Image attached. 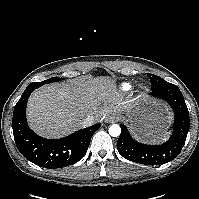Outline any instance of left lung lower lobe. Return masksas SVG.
I'll return each mask as SVG.
<instances>
[{
    "label": "left lung lower lobe",
    "mask_w": 199,
    "mask_h": 199,
    "mask_svg": "<svg viewBox=\"0 0 199 199\" xmlns=\"http://www.w3.org/2000/svg\"><path fill=\"white\" fill-rule=\"evenodd\" d=\"M151 96L165 100L175 114L173 134L162 145H146L135 141L125 125L120 124L121 135L117 141V149L124 158L146 165H160L173 160L185 144L189 131V112L184 97L177 86L152 91Z\"/></svg>",
    "instance_id": "left-lung-lower-lobe-1"
}]
</instances>
